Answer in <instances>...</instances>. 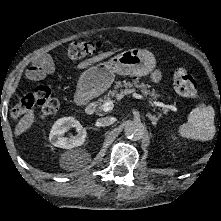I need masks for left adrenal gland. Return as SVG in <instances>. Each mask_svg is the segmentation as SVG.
<instances>
[{"label":"left adrenal gland","mask_w":221,"mask_h":221,"mask_svg":"<svg viewBox=\"0 0 221 221\" xmlns=\"http://www.w3.org/2000/svg\"><path fill=\"white\" fill-rule=\"evenodd\" d=\"M146 116L152 121V124L155 126L157 124V121L160 119V117L152 115L150 113H147Z\"/></svg>","instance_id":"left-adrenal-gland-1"}]
</instances>
